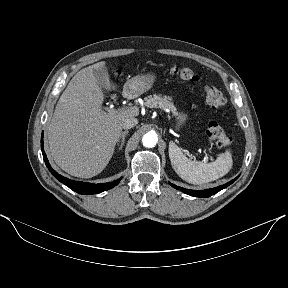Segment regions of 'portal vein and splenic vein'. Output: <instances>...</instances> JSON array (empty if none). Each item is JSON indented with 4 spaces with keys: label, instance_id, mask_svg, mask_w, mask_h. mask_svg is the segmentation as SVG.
<instances>
[{
    "label": "portal vein and splenic vein",
    "instance_id": "portal-vein-and-splenic-vein-1",
    "mask_svg": "<svg viewBox=\"0 0 288 288\" xmlns=\"http://www.w3.org/2000/svg\"><path fill=\"white\" fill-rule=\"evenodd\" d=\"M109 113H111V114H114V113H117L118 112V110H116V109H114V108H107L106 109ZM205 160H207L208 159V156L207 155H205V158H204Z\"/></svg>",
    "mask_w": 288,
    "mask_h": 288
}]
</instances>
